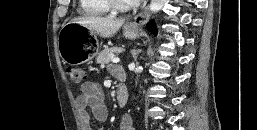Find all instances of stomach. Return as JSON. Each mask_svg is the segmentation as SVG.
<instances>
[{
  "label": "stomach",
  "instance_id": "0dacf381",
  "mask_svg": "<svg viewBox=\"0 0 257 130\" xmlns=\"http://www.w3.org/2000/svg\"><path fill=\"white\" fill-rule=\"evenodd\" d=\"M93 35L85 26L68 22L60 30L58 36L59 54L63 62L70 65H79L93 59L98 54V48L88 40ZM123 35L134 40L139 35V27L127 23L123 27Z\"/></svg>",
  "mask_w": 257,
  "mask_h": 130
}]
</instances>
